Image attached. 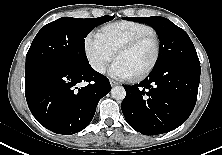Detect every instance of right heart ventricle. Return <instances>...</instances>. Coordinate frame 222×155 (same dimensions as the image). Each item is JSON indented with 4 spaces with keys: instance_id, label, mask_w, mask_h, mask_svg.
<instances>
[{
    "instance_id": "e07e8e85",
    "label": "right heart ventricle",
    "mask_w": 222,
    "mask_h": 155,
    "mask_svg": "<svg viewBox=\"0 0 222 155\" xmlns=\"http://www.w3.org/2000/svg\"><path fill=\"white\" fill-rule=\"evenodd\" d=\"M154 31L153 27L146 23L121 21L106 25L101 29L100 34L107 44L116 52L120 46L135 37Z\"/></svg>"
}]
</instances>
